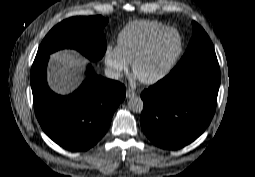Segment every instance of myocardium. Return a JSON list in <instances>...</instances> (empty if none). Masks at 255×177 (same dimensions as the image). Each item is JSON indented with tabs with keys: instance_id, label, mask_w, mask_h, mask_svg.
Wrapping results in <instances>:
<instances>
[{
	"instance_id": "1",
	"label": "myocardium",
	"mask_w": 255,
	"mask_h": 177,
	"mask_svg": "<svg viewBox=\"0 0 255 177\" xmlns=\"http://www.w3.org/2000/svg\"><path fill=\"white\" fill-rule=\"evenodd\" d=\"M169 32H176L178 34L179 37V46H178V50L177 52L169 59V61L166 63V65L160 70V72H158L155 76L148 78V79H141L140 80L145 83V84H155L159 81H161L163 78L166 77V75L170 72V70L172 69V67L174 66V64L176 63V61L178 60V58L180 57V55L182 54L183 51V47H184V41H183V37L180 33L179 30H177L174 27H166L163 30L157 32L156 34H154L149 40L148 42L143 46V48L139 51V53L136 55V57L134 58V60L132 61V71L133 73L136 74V67L139 64V62L141 60H143L147 54L149 53V51L152 49V47L154 46V44L159 40V38H161L162 36H164L165 34L169 33Z\"/></svg>"
}]
</instances>
